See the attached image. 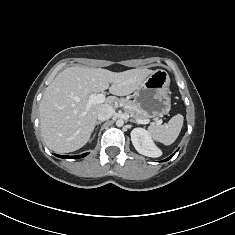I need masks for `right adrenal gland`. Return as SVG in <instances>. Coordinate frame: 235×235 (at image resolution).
I'll use <instances>...</instances> for the list:
<instances>
[{
    "label": "right adrenal gland",
    "mask_w": 235,
    "mask_h": 235,
    "mask_svg": "<svg viewBox=\"0 0 235 235\" xmlns=\"http://www.w3.org/2000/svg\"><path fill=\"white\" fill-rule=\"evenodd\" d=\"M102 123V121H97L96 122V125L98 126L99 124H101ZM95 135H96V133L93 135V138L95 137Z\"/></svg>",
    "instance_id": "1"
}]
</instances>
